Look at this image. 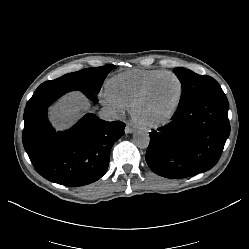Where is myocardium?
I'll use <instances>...</instances> for the list:
<instances>
[{"label": "myocardium", "mask_w": 249, "mask_h": 249, "mask_svg": "<svg viewBox=\"0 0 249 249\" xmlns=\"http://www.w3.org/2000/svg\"><path fill=\"white\" fill-rule=\"evenodd\" d=\"M171 76L175 78L179 84V96L176 104L174 107L169 111V113L162 118L151 120V121H144L141 120L137 116V109L140 106V104L143 102V100L147 97L149 92L151 91L152 87L162 78ZM185 94V87L182 79L174 72H164L161 73L155 77H153L151 80H149L144 87L140 90V92L136 95V97L133 99L132 103L130 104V114L132 116V119L140 126L152 129V128H158L161 126H164L168 124L174 116L177 114L178 110L180 109Z\"/></svg>", "instance_id": "f54148a6"}]
</instances>
